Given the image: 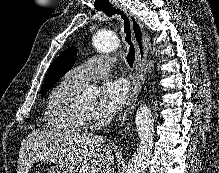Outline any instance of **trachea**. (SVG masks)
Listing matches in <instances>:
<instances>
[{
  "label": "trachea",
  "instance_id": "trachea-1",
  "mask_svg": "<svg viewBox=\"0 0 219 173\" xmlns=\"http://www.w3.org/2000/svg\"><path fill=\"white\" fill-rule=\"evenodd\" d=\"M97 10L98 11H103L107 16H112L114 14H119L121 16V18L123 19L124 33L126 34L125 41L129 45V52L127 54L126 59H127V62L129 64V66L133 67V64H134V61H135V48H134L132 38H131V26H130V21H129L128 17L126 16V14L123 11L117 9L113 5L100 7V8H97Z\"/></svg>",
  "mask_w": 219,
  "mask_h": 173
}]
</instances>
